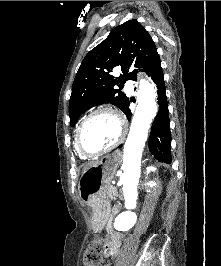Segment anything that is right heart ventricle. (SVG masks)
I'll return each instance as SVG.
<instances>
[{
    "label": "right heart ventricle",
    "mask_w": 221,
    "mask_h": 266,
    "mask_svg": "<svg viewBox=\"0 0 221 266\" xmlns=\"http://www.w3.org/2000/svg\"><path fill=\"white\" fill-rule=\"evenodd\" d=\"M78 128H79V127H78ZM77 131H78V129H77ZM77 131H76V134H75V137H74V148H75V151H76V153L78 154V156H79L80 158H82V159H86L87 156L81 154L80 151H79L78 148H77V145H76V135H77Z\"/></svg>",
    "instance_id": "1"
}]
</instances>
